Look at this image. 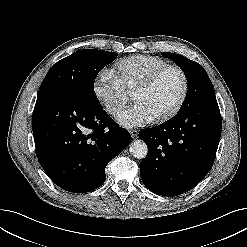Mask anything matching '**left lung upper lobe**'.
I'll use <instances>...</instances> for the list:
<instances>
[{"label":"left lung upper lobe","instance_id":"5c2ea615","mask_svg":"<svg viewBox=\"0 0 247 247\" xmlns=\"http://www.w3.org/2000/svg\"><path fill=\"white\" fill-rule=\"evenodd\" d=\"M162 55L172 59L184 71L188 81V93L178 113L217 103L211 80L200 64L175 53L164 52Z\"/></svg>","mask_w":247,"mask_h":247}]
</instances>
